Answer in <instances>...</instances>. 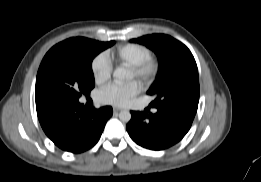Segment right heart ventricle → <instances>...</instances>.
<instances>
[{"label":"right heart ventricle","instance_id":"1","mask_svg":"<svg viewBox=\"0 0 261 182\" xmlns=\"http://www.w3.org/2000/svg\"><path fill=\"white\" fill-rule=\"evenodd\" d=\"M150 55L151 52L146 46L137 43H127L119 46L113 57L120 64L131 67L149 58Z\"/></svg>","mask_w":261,"mask_h":182}]
</instances>
